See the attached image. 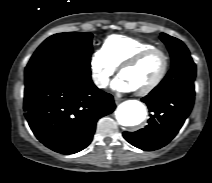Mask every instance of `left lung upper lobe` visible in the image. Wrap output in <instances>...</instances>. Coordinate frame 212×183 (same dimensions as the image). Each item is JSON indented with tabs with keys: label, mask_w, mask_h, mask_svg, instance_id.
Segmentation results:
<instances>
[{
	"label": "left lung upper lobe",
	"mask_w": 212,
	"mask_h": 183,
	"mask_svg": "<svg viewBox=\"0 0 212 183\" xmlns=\"http://www.w3.org/2000/svg\"><path fill=\"white\" fill-rule=\"evenodd\" d=\"M160 38L166 44L170 52L172 65H174L180 59L190 56L189 50L179 39L169 36L165 33H161Z\"/></svg>",
	"instance_id": "1"
}]
</instances>
